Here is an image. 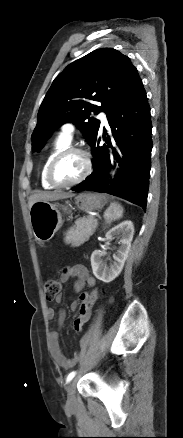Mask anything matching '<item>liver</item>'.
<instances>
[{
  "label": "liver",
  "mask_w": 183,
  "mask_h": 438,
  "mask_svg": "<svg viewBox=\"0 0 183 438\" xmlns=\"http://www.w3.org/2000/svg\"><path fill=\"white\" fill-rule=\"evenodd\" d=\"M74 194H72L71 192H60V191H55V192H39L37 194L32 195L29 198V208L37 201H56V200H61V199H67L70 197H73Z\"/></svg>",
  "instance_id": "1"
}]
</instances>
